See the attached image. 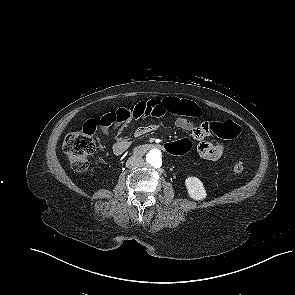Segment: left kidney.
I'll return each mask as SVG.
<instances>
[{"instance_id":"left-kidney-1","label":"left kidney","mask_w":295,"mask_h":295,"mask_svg":"<svg viewBox=\"0 0 295 295\" xmlns=\"http://www.w3.org/2000/svg\"><path fill=\"white\" fill-rule=\"evenodd\" d=\"M185 186L188 191L190 198L194 200H203L206 198V190L203 183L197 177H188L185 180Z\"/></svg>"}]
</instances>
